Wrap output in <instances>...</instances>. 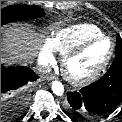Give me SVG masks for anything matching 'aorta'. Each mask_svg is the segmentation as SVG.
Segmentation results:
<instances>
[{
  "mask_svg": "<svg viewBox=\"0 0 122 122\" xmlns=\"http://www.w3.org/2000/svg\"><path fill=\"white\" fill-rule=\"evenodd\" d=\"M51 89H52L53 93H54L55 95H58V96H61V95H63V93H64V86H63V84H62L61 82H59V81H54V82L52 83Z\"/></svg>",
  "mask_w": 122,
  "mask_h": 122,
  "instance_id": "1",
  "label": "aorta"
}]
</instances>
